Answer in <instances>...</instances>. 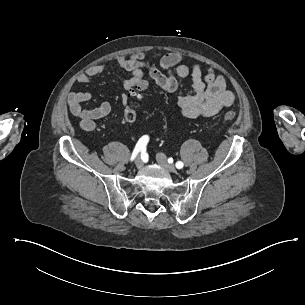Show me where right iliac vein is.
Masks as SVG:
<instances>
[{
	"label": "right iliac vein",
	"instance_id": "63e3f726",
	"mask_svg": "<svg viewBox=\"0 0 305 305\" xmlns=\"http://www.w3.org/2000/svg\"><path fill=\"white\" fill-rule=\"evenodd\" d=\"M135 166L138 169H140L143 166V161L139 157L135 160Z\"/></svg>",
	"mask_w": 305,
	"mask_h": 305
}]
</instances>
